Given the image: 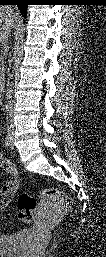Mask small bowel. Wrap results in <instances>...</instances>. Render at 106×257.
<instances>
[{"instance_id":"small-bowel-1","label":"small bowel","mask_w":106,"mask_h":257,"mask_svg":"<svg viewBox=\"0 0 106 257\" xmlns=\"http://www.w3.org/2000/svg\"><path fill=\"white\" fill-rule=\"evenodd\" d=\"M0 166L4 172L12 176L1 188L0 208L3 210L10 204L12 197L18 190L19 179L17 169L12 162L1 160Z\"/></svg>"}]
</instances>
